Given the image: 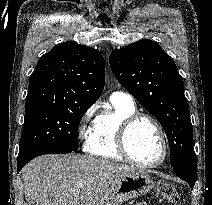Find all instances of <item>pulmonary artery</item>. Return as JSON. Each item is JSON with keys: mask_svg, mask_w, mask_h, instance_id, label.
Masks as SVG:
<instances>
[{"mask_svg": "<svg viewBox=\"0 0 212 205\" xmlns=\"http://www.w3.org/2000/svg\"><path fill=\"white\" fill-rule=\"evenodd\" d=\"M111 98H117V99H122L128 102H133L132 96L123 91H115L112 93Z\"/></svg>", "mask_w": 212, "mask_h": 205, "instance_id": "obj_1", "label": "pulmonary artery"}]
</instances>
